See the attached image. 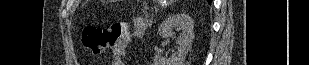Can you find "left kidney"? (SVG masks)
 Listing matches in <instances>:
<instances>
[{
    "mask_svg": "<svg viewBox=\"0 0 309 65\" xmlns=\"http://www.w3.org/2000/svg\"><path fill=\"white\" fill-rule=\"evenodd\" d=\"M174 30L181 31V35L176 38ZM158 32L162 38L171 37L176 39L178 51L169 59L156 55L154 65H183L194 40V22L192 18L185 13L172 15L161 23Z\"/></svg>",
    "mask_w": 309,
    "mask_h": 65,
    "instance_id": "left-kidney-1",
    "label": "left kidney"
}]
</instances>
